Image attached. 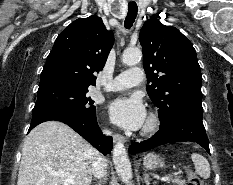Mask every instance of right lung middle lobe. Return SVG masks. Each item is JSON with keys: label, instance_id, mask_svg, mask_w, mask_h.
Here are the masks:
<instances>
[{"label": "right lung middle lobe", "instance_id": "1", "mask_svg": "<svg viewBox=\"0 0 233 185\" xmlns=\"http://www.w3.org/2000/svg\"><path fill=\"white\" fill-rule=\"evenodd\" d=\"M88 89L53 87L38 90L34 109L55 108L83 113L87 116L96 114L94 101L86 96Z\"/></svg>", "mask_w": 233, "mask_h": 185}]
</instances>
